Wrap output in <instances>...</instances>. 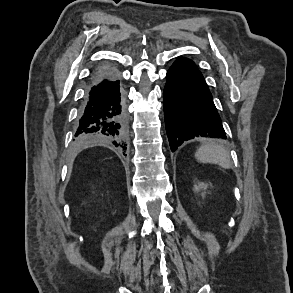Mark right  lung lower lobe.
<instances>
[{
  "label": "right lung lower lobe",
  "mask_w": 293,
  "mask_h": 293,
  "mask_svg": "<svg viewBox=\"0 0 293 293\" xmlns=\"http://www.w3.org/2000/svg\"><path fill=\"white\" fill-rule=\"evenodd\" d=\"M127 132L118 74L112 67L102 66L92 75L91 86L80 107L75 137L80 143L108 142L125 151Z\"/></svg>",
  "instance_id": "right-lung-lower-lobe-1"
}]
</instances>
